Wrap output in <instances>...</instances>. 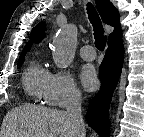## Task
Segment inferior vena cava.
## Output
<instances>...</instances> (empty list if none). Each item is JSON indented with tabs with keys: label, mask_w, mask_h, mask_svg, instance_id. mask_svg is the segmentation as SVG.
I'll list each match as a JSON object with an SVG mask.
<instances>
[{
	"label": "inferior vena cava",
	"mask_w": 144,
	"mask_h": 137,
	"mask_svg": "<svg viewBox=\"0 0 144 137\" xmlns=\"http://www.w3.org/2000/svg\"><path fill=\"white\" fill-rule=\"evenodd\" d=\"M81 102V94L77 91H72L66 109L76 132L75 137H85V127L81 115Z\"/></svg>",
	"instance_id": "obj_1"
}]
</instances>
